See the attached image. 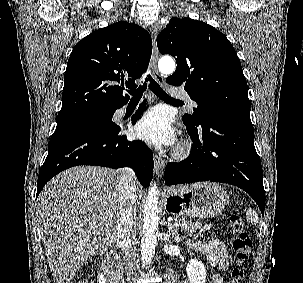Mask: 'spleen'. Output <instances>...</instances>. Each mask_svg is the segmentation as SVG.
Segmentation results:
<instances>
[{
    "label": "spleen",
    "instance_id": "obj_1",
    "mask_svg": "<svg viewBox=\"0 0 303 283\" xmlns=\"http://www.w3.org/2000/svg\"><path fill=\"white\" fill-rule=\"evenodd\" d=\"M246 217L251 224H257L259 221L257 213L252 209L247 210Z\"/></svg>",
    "mask_w": 303,
    "mask_h": 283
}]
</instances>
